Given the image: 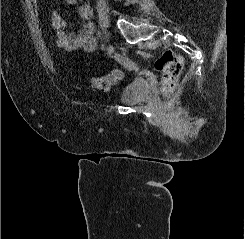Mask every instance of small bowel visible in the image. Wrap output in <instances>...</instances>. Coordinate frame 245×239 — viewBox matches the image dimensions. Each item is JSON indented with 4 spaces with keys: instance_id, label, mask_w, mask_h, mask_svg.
Masks as SVG:
<instances>
[{
    "instance_id": "obj_1",
    "label": "small bowel",
    "mask_w": 245,
    "mask_h": 239,
    "mask_svg": "<svg viewBox=\"0 0 245 239\" xmlns=\"http://www.w3.org/2000/svg\"><path fill=\"white\" fill-rule=\"evenodd\" d=\"M70 5H78L81 24L71 30L66 19L56 10L51 13V23L56 32L57 45L65 51L92 52L96 48L95 26L92 22L93 9L90 0H66Z\"/></svg>"
}]
</instances>
